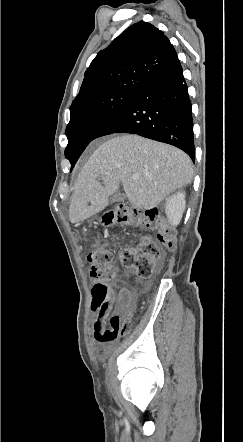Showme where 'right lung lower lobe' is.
Instances as JSON below:
<instances>
[{"label":"right lung lower lobe","mask_w":243,"mask_h":442,"mask_svg":"<svg viewBox=\"0 0 243 442\" xmlns=\"http://www.w3.org/2000/svg\"><path fill=\"white\" fill-rule=\"evenodd\" d=\"M113 133L138 134L171 144L194 162L191 101L178 57L137 88L96 138Z\"/></svg>","instance_id":"right-lung-lower-lobe-1"}]
</instances>
